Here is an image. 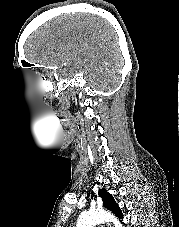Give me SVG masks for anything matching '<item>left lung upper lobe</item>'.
Masks as SVG:
<instances>
[{"label":"left lung upper lobe","mask_w":179,"mask_h":227,"mask_svg":"<svg viewBox=\"0 0 179 227\" xmlns=\"http://www.w3.org/2000/svg\"><path fill=\"white\" fill-rule=\"evenodd\" d=\"M98 195L102 198L103 204L108 210L113 212L117 217H123L119 206L116 204L112 195L106 191V189H100Z\"/></svg>","instance_id":"left-lung-upper-lobe-1"}]
</instances>
